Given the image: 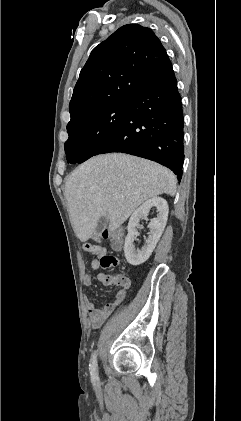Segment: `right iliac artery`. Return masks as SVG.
<instances>
[{"mask_svg": "<svg viewBox=\"0 0 241 421\" xmlns=\"http://www.w3.org/2000/svg\"><path fill=\"white\" fill-rule=\"evenodd\" d=\"M89 370H90L92 378H96L97 375H98V371H97V362H96V353L95 352L92 355L91 362H90V365H89Z\"/></svg>", "mask_w": 241, "mask_h": 421, "instance_id": "right-iliac-artery-1", "label": "right iliac artery"}]
</instances>
